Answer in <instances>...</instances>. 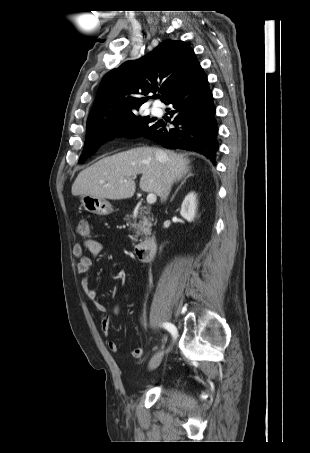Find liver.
<instances>
[{"mask_svg": "<svg viewBox=\"0 0 310 453\" xmlns=\"http://www.w3.org/2000/svg\"><path fill=\"white\" fill-rule=\"evenodd\" d=\"M157 150L139 147L99 160L78 174L72 195L110 200L131 198L136 189L134 179L141 174L140 189L161 197L167 176L172 183L180 180L189 169L190 161L182 154L164 150H161L163 160L159 161L155 155Z\"/></svg>", "mask_w": 310, "mask_h": 453, "instance_id": "obj_1", "label": "liver"}]
</instances>
